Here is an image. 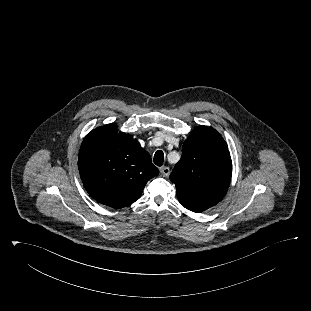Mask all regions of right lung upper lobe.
Instances as JSON below:
<instances>
[{"mask_svg":"<svg viewBox=\"0 0 311 311\" xmlns=\"http://www.w3.org/2000/svg\"><path fill=\"white\" fill-rule=\"evenodd\" d=\"M107 124L83 140L78 169L83 185L97 202L120 209L139 199L151 178L159 173L151 157L131 135Z\"/></svg>","mask_w":311,"mask_h":311,"instance_id":"1","label":"right lung upper lobe"}]
</instances>
